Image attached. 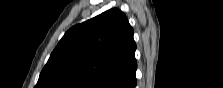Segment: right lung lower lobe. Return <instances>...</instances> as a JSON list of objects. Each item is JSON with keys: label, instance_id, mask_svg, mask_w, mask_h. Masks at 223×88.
<instances>
[{"label": "right lung lower lobe", "instance_id": "98d812e1", "mask_svg": "<svg viewBox=\"0 0 223 88\" xmlns=\"http://www.w3.org/2000/svg\"><path fill=\"white\" fill-rule=\"evenodd\" d=\"M135 86H136V77L134 78V81H133V83L131 84L130 88H135Z\"/></svg>", "mask_w": 223, "mask_h": 88}]
</instances>
